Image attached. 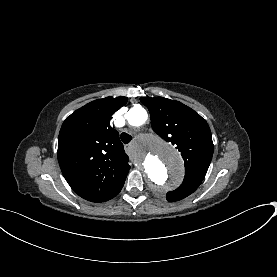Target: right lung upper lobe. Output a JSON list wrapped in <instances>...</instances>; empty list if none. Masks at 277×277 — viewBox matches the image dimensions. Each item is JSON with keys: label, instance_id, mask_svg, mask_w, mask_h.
<instances>
[{"label": "right lung upper lobe", "instance_id": "cb5924a9", "mask_svg": "<svg viewBox=\"0 0 277 277\" xmlns=\"http://www.w3.org/2000/svg\"><path fill=\"white\" fill-rule=\"evenodd\" d=\"M127 97H106L92 101L73 112L63 123L58 138V161L70 187L82 198L103 202L122 189L129 172L128 156L119 133L110 124L114 112L127 103ZM93 165L112 166L114 172L104 180L96 169L75 173L72 159Z\"/></svg>", "mask_w": 277, "mask_h": 277}]
</instances>
